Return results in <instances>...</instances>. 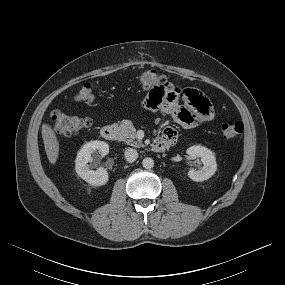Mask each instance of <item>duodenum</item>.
<instances>
[{"mask_svg": "<svg viewBox=\"0 0 285 285\" xmlns=\"http://www.w3.org/2000/svg\"><path fill=\"white\" fill-rule=\"evenodd\" d=\"M101 136L107 141H116L118 139V129L114 125H105L100 130ZM171 144L162 138H157L152 144V150L155 152H164Z\"/></svg>", "mask_w": 285, "mask_h": 285, "instance_id": "duodenum-1", "label": "duodenum"}]
</instances>
